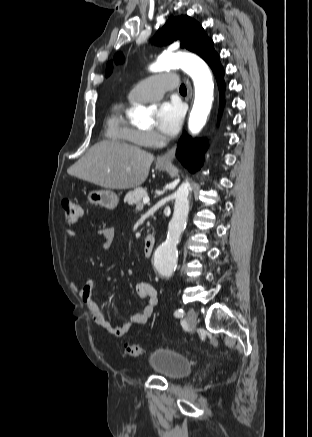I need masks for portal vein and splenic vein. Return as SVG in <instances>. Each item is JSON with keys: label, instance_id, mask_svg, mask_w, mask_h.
Listing matches in <instances>:
<instances>
[{"label": "portal vein and splenic vein", "instance_id": "obj_1", "mask_svg": "<svg viewBox=\"0 0 312 437\" xmlns=\"http://www.w3.org/2000/svg\"><path fill=\"white\" fill-rule=\"evenodd\" d=\"M149 197L148 196H145L144 198H143V204H147V203H149ZM143 208V205H141V206H137L136 207V209L137 210H140V209H142Z\"/></svg>", "mask_w": 312, "mask_h": 437}]
</instances>
